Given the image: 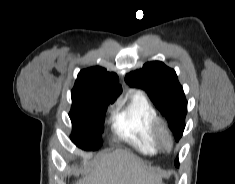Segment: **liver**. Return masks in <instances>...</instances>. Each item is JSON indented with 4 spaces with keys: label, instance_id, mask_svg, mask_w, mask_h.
<instances>
[{
    "label": "liver",
    "instance_id": "1",
    "mask_svg": "<svg viewBox=\"0 0 235 184\" xmlns=\"http://www.w3.org/2000/svg\"><path fill=\"white\" fill-rule=\"evenodd\" d=\"M163 170L147 166L127 150H114L99 158L90 176L80 184H159Z\"/></svg>",
    "mask_w": 235,
    "mask_h": 184
}]
</instances>
